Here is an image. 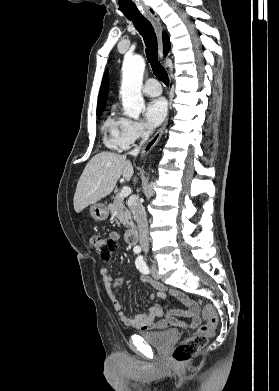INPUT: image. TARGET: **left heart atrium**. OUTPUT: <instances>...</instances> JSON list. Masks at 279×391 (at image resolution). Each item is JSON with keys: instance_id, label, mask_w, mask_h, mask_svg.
I'll use <instances>...</instances> for the list:
<instances>
[{"instance_id": "39dd6f15", "label": "left heart atrium", "mask_w": 279, "mask_h": 391, "mask_svg": "<svg viewBox=\"0 0 279 391\" xmlns=\"http://www.w3.org/2000/svg\"><path fill=\"white\" fill-rule=\"evenodd\" d=\"M167 102L164 98L150 100L144 109V116L151 127L158 126L166 117Z\"/></svg>"}]
</instances>
